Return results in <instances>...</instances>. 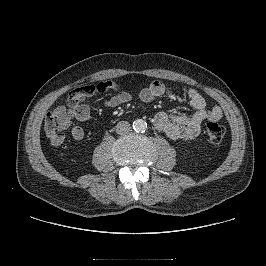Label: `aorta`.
Masks as SVG:
<instances>
[{
    "label": "aorta",
    "mask_w": 266,
    "mask_h": 266,
    "mask_svg": "<svg viewBox=\"0 0 266 266\" xmlns=\"http://www.w3.org/2000/svg\"><path fill=\"white\" fill-rule=\"evenodd\" d=\"M133 129L135 132H145L147 123L143 119H137L133 122Z\"/></svg>",
    "instance_id": "762f6f07"
}]
</instances>
